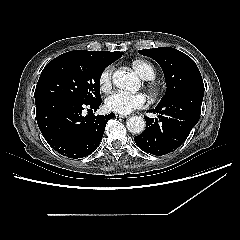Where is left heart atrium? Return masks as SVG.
I'll use <instances>...</instances> for the list:
<instances>
[{
  "label": "left heart atrium",
  "mask_w": 240,
  "mask_h": 240,
  "mask_svg": "<svg viewBox=\"0 0 240 240\" xmlns=\"http://www.w3.org/2000/svg\"><path fill=\"white\" fill-rule=\"evenodd\" d=\"M146 101V96L142 93L115 91L106 98L105 105L110 111L129 114L133 110L144 107Z\"/></svg>",
  "instance_id": "39dd6f15"
}]
</instances>
